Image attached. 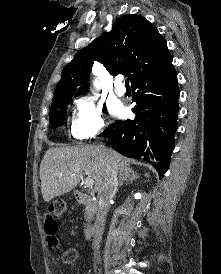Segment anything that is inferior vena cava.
<instances>
[{
    "label": "inferior vena cava",
    "mask_w": 221,
    "mask_h": 274,
    "mask_svg": "<svg viewBox=\"0 0 221 274\" xmlns=\"http://www.w3.org/2000/svg\"><path fill=\"white\" fill-rule=\"evenodd\" d=\"M106 166L107 170L104 182L98 190V211L96 215V221L93 227L94 250H98L100 247V242L102 239V234L106 221L107 209L109 206V200L114 197L118 186V168L112 157L106 158Z\"/></svg>",
    "instance_id": "602c4592"
}]
</instances>
